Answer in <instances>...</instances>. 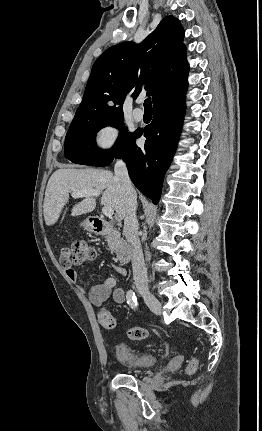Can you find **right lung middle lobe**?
Returning a JSON list of instances; mask_svg holds the SVG:
<instances>
[{"mask_svg":"<svg viewBox=\"0 0 262 431\" xmlns=\"http://www.w3.org/2000/svg\"><path fill=\"white\" fill-rule=\"evenodd\" d=\"M109 125L122 131L113 148L103 151L96 146V133ZM133 134L124 126L123 116L73 120L65 138V157L76 164L106 166L121 154Z\"/></svg>","mask_w":262,"mask_h":431,"instance_id":"obj_1","label":"right lung middle lobe"}]
</instances>
